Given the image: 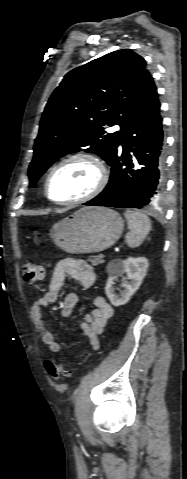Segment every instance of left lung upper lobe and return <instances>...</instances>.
Here are the masks:
<instances>
[{"label": "left lung upper lobe", "instance_id": "left-lung-upper-lobe-1", "mask_svg": "<svg viewBox=\"0 0 187 479\" xmlns=\"http://www.w3.org/2000/svg\"><path fill=\"white\" fill-rule=\"evenodd\" d=\"M143 57L130 49L108 53L67 73L51 95L35 140L29 166L30 187L60 157L82 148L113 160L120 131L146 76Z\"/></svg>", "mask_w": 187, "mask_h": 479}]
</instances>
